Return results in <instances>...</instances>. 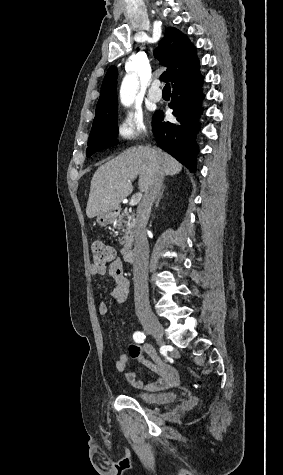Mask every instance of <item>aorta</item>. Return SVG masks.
I'll list each match as a JSON object with an SVG mask.
<instances>
[{
	"label": "aorta",
	"instance_id": "1",
	"mask_svg": "<svg viewBox=\"0 0 283 475\" xmlns=\"http://www.w3.org/2000/svg\"><path fill=\"white\" fill-rule=\"evenodd\" d=\"M139 81L135 74H127L122 81L120 88L121 103L129 107L133 104L138 91Z\"/></svg>",
	"mask_w": 283,
	"mask_h": 475
}]
</instances>
